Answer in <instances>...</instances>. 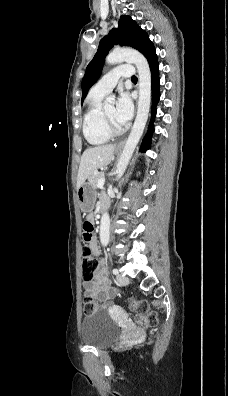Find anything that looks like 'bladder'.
Returning <instances> with one entry per match:
<instances>
[{"label": "bladder", "instance_id": "obj_1", "mask_svg": "<svg viewBox=\"0 0 228 396\" xmlns=\"http://www.w3.org/2000/svg\"><path fill=\"white\" fill-rule=\"evenodd\" d=\"M80 335L84 344L102 349L119 339L120 328L105 311H95L82 320Z\"/></svg>", "mask_w": 228, "mask_h": 396}]
</instances>
